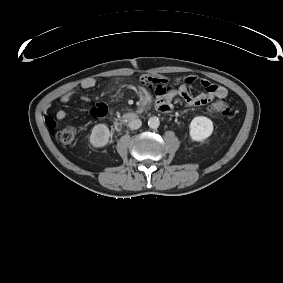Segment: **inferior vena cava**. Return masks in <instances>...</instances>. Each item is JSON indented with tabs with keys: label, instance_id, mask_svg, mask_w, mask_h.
Masks as SVG:
<instances>
[{
	"label": "inferior vena cava",
	"instance_id": "inferior-vena-cava-1",
	"mask_svg": "<svg viewBox=\"0 0 283 283\" xmlns=\"http://www.w3.org/2000/svg\"><path fill=\"white\" fill-rule=\"evenodd\" d=\"M141 125H142V121L138 118L132 119L128 123L129 128L132 129V130H136V129L140 128Z\"/></svg>",
	"mask_w": 283,
	"mask_h": 283
}]
</instances>
